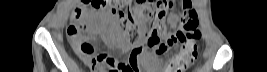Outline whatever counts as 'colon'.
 Returning a JSON list of instances; mask_svg holds the SVG:
<instances>
[{
  "instance_id": "colon-1",
  "label": "colon",
  "mask_w": 267,
  "mask_h": 72,
  "mask_svg": "<svg viewBox=\"0 0 267 72\" xmlns=\"http://www.w3.org/2000/svg\"><path fill=\"white\" fill-rule=\"evenodd\" d=\"M137 2L141 8H134ZM85 5L93 10L114 18L116 27H120L127 37L128 43L140 51L144 46L155 47L158 52H164L174 42V36L165 24L173 2L171 0L133 1V0H86L79 3L72 11L71 22L67 28L69 42L75 47L84 64L97 67L103 72H120L129 70L107 53L93 55V46L84 33ZM195 11L190 7V1L181 2L182 30L180 37L184 41L181 51L172 62V72L186 70L197 58L196 40L201 37ZM143 23V26L139 24Z\"/></svg>"
}]
</instances>
